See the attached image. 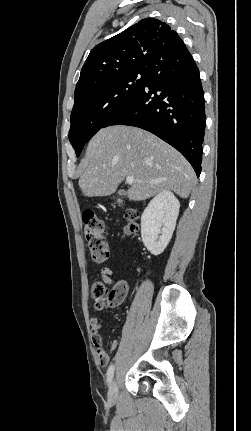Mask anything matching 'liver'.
I'll list each match as a JSON object with an SVG mask.
<instances>
[{
    "label": "liver",
    "mask_w": 251,
    "mask_h": 431,
    "mask_svg": "<svg viewBox=\"0 0 251 431\" xmlns=\"http://www.w3.org/2000/svg\"><path fill=\"white\" fill-rule=\"evenodd\" d=\"M79 187L86 197L113 194L127 176L134 182L126 192L129 200L142 201L172 190L187 198L195 183L189 162L172 146L137 127L103 128L89 142L81 163Z\"/></svg>",
    "instance_id": "obj_1"
}]
</instances>
